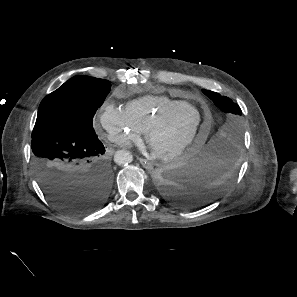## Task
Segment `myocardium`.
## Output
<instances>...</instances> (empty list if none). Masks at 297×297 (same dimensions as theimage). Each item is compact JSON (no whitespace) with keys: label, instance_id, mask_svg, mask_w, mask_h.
Masks as SVG:
<instances>
[{"label":"myocardium","instance_id":"myocardium-1","mask_svg":"<svg viewBox=\"0 0 297 297\" xmlns=\"http://www.w3.org/2000/svg\"><path fill=\"white\" fill-rule=\"evenodd\" d=\"M187 109L196 111L198 114V117H199L197 126H196L194 132L192 133V135L185 142H183L180 146H178L172 150L163 151V152H156V151L152 150L151 145H150L151 135L155 131L160 129L167 121L180 115L182 112H184ZM202 124H203L202 112L199 109H197L195 106L188 103L182 107L172 109V110H167V111L163 112L162 114L158 115L147 126L146 130L144 131L145 141L148 144V146L151 148L152 153L154 154V156L156 158H158L161 161L167 162V161H170V160L175 159L176 157L182 155L189 147H191L196 142V140L199 136Z\"/></svg>","mask_w":297,"mask_h":297}]
</instances>
